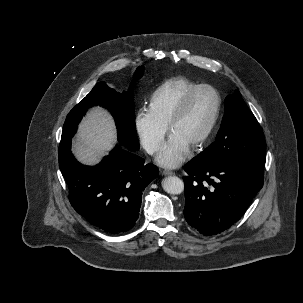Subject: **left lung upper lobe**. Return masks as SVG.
Instances as JSON below:
<instances>
[{
	"instance_id": "left-lung-upper-lobe-1",
	"label": "left lung upper lobe",
	"mask_w": 303,
	"mask_h": 303,
	"mask_svg": "<svg viewBox=\"0 0 303 303\" xmlns=\"http://www.w3.org/2000/svg\"><path fill=\"white\" fill-rule=\"evenodd\" d=\"M225 106V115L216 140L199 157L211 161H226L263 175L266 146L257 119L239 91L226 98Z\"/></svg>"
}]
</instances>
